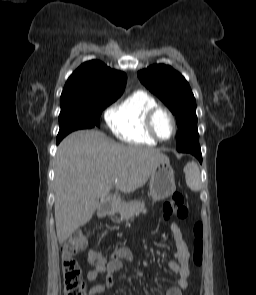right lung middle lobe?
Returning a JSON list of instances; mask_svg holds the SVG:
<instances>
[{
	"mask_svg": "<svg viewBox=\"0 0 256 295\" xmlns=\"http://www.w3.org/2000/svg\"><path fill=\"white\" fill-rule=\"evenodd\" d=\"M119 97L99 98L84 103L61 106L59 115L60 130L57 137H65L74 130L88 128L89 126L86 124L87 118L91 119L92 126H99V119L103 109Z\"/></svg>",
	"mask_w": 256,
	"mask_h": 295,
	"instance_id": "obj_1",
	"label": "right lung middle lobe"
}]
</instances>
